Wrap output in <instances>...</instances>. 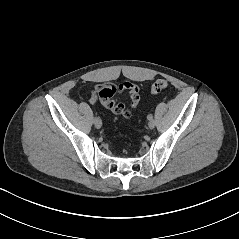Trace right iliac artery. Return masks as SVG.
Masks as SVG:
<instances>
[{"label": "right iliac artery", "mask_w": 239, "mask_h": 239, "mask_svg": "<svg viewBox=\"0 0 239 239\" xmlns=\"http://www.w3.org/2000/svg\"><path fill=\"white\" fill-rule=\"evenodd\" d=\"M98 119H99V118L95 116L94 119H93V121L95 122V121L98 120Z\"/></svg>", "instance_id": "right-iliac-artery-1"}]
</instances>
